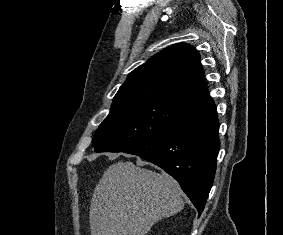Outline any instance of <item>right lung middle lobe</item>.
Here are the masks:
<instances>
[{"label": "right lung middle lobe", "instance_id": "right-lung-middle-lobe-1", "mask_svg": "<svg viewBox=\"0 0 283 235\" xmlns=\"http://www.w3.org/2000/svg\"><path fill=\"white\" fill-rule=\"evenodd\" d=\"M187 104L164 99L113 103L94 138L95 152H125L167 130Z\"/></svg>", "mask_w": 283, "mask_h": 235}]
</instances>
